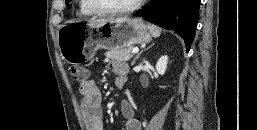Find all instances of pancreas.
Wrapping results in <instances>:
<instances>
[{
    "label": "pancreas",
    "instance_id": "1",
    "mask_svg": "<svg viewBox=\"0 0 257 130\" xmlns=\"http://www.w3.org/2000/svg\"><path fill=\"white\" fill-rule=\"evenodd\" d=\"M133 47H124L119 49H113L105 53V56L112 61H124L130 60L132 58Z\"/></svg>",
    "mask_w": 257,
    "mask_h": 130
}]
</instances>
